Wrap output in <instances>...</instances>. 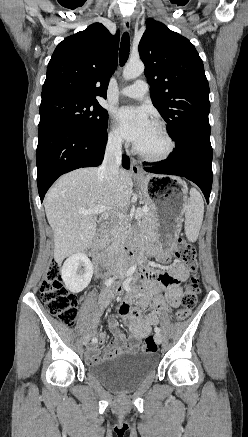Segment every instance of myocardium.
<instances>
[{
  "mask_svg": "<svg viewBox=\"0 0 248 437\" xmlns=\"http://www.w3.org/2000/svg\"><path fill=\"white\" fill-rule=\"evenodd\" d=\"M153 125L158 127L160 131L162 132L166 142H167V148L166 150L161 153L160 155H149L141 151L136 145L134 146V152L144 161L151 162V163H159L163 162L170 158V156L173 154L175 150V141L170 134L166 124L161 120H154L152 122Z\"/></svg>",
  "mask_w": 248,
  "mask_h": 437,
  "instance_id": "1",
  "label": "myocardium"
}]
</instances>
